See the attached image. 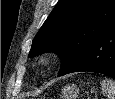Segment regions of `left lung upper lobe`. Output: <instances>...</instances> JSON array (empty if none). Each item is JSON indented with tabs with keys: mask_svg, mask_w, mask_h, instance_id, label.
<instances>
[{
	"mask_svg": "<svg viewBox=\"0 0 115 99\" xmlns=\"http://www.w3.org/2000/svg\"><path fill=\"white\" fill-rule=\"evenodd\" d=\"M114 24L115 0H59L33 39L29 57L56 52L62 76Z\"/></svg>",
	"mask_w": 115,
	"mask_h": 99,
	"instance_id": "1",
	"label": "left lung upper lobe"
}]
</instances>
